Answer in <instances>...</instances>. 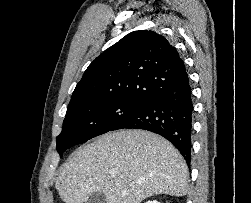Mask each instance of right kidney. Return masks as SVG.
Here are the masks:
<instances>
[{
    "label": "right kidney",
    "mask_w": 251,
    "mask_h": 203,
    "mask_svg": "<svg viewBox=\"0 0 251 203\" xmlns=\"http://www.w3.org/2000/svg\"><path fill=\"white\" fill-rule=\"evenodd\" d=\"M145 203H160V202H158V201H156V200H149V201H147V202H145Z\"/></svg>",
    "instance_id": "right-kidney-1"
}]
</instances>
